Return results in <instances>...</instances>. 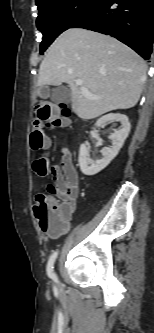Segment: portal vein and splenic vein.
Returning a JSON list of instances; mask_svg holds the SVG:
<instances>
[{"label":"portal vein and splenic vein","instance_id":"1","mask_svg":"<svg viewBox=\"0 0 154 333\" xmlns=\"http://www.w3.org/2000/svg\"><path fill=\"white\" fill-rule=\"evenodd\" d=\"M75 83H76V85H78V86H82L83 81H82L81 79H77V80L75 81ZM81 90H82L83 94H84L86 97H88L89 99H99V97H97V96L91 94V93L88 91V89H86V88H84V87H81Z\"/></svg>","mask_w":154,"mask_h":333}]
</instances>
